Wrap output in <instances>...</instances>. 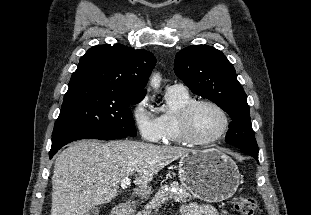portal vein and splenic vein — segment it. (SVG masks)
<instances>
[{
    "instance_id": "18ae733b",
    "label": "portal vein and splenic vein",
    "mask_w": 311,
    "mask_h": 215,
    "mask_svg": "<svg viewBox=\"0 0 311 215\" xmlns=\"http://www.w3.org/2000/svg\"><path fill=\"white\" fill-rule=\"evenodd\" d=\"M129 184H130V178L126 177L121 181V188L125 190Z\"/></svg>"
}]
</instances>
